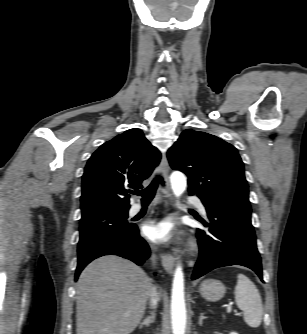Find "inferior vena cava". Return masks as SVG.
Wrapping results in <instances>:
<instances>
[{"mask_svg":"<svg viewBox=\"0 0 307 334\" xmlns=\"http://www.w3.org/2000/svg\"><path fill=\"white\" fill-rule=\"evenodd\" d=\"M152 261L155 262L154 256L152 257ZM149 299H150L151 306L156 307L157 302L159 300V295L157 293V289L155 286H153L150 290Z\"/></svg>","mask_w":307,"mask_h":334,"instance_id":"inferior-vena-cava-1","label":"inferior vena cava"}]
</instances>
